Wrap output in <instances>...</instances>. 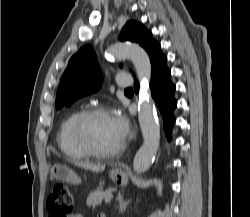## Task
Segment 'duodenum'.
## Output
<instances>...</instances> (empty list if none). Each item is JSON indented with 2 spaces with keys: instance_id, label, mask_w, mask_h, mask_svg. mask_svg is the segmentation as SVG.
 Wrapping results in <instances>:
<instances>
[{
  "instance_id": "obj_1",
  "label": "duodenum",
  "mask_w": 250,
  "mask_h": 217,
  "mask_svg": "<svg viewBox=\"0 0 250 217\" xmlns=\"http://www.w3.org/2000/svg\"><path fill=\"white\" fill-rule=\"evenodd\" d=\"M99 217H106V215L105 214H101Z\"/></svg>"
}]
</instances>
